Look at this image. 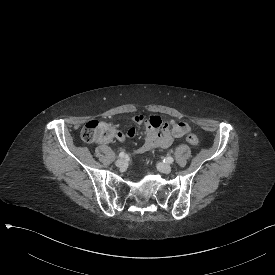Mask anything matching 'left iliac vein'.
I'll return each instance as SVG.
<instances>
[{"label": "left iliac vein", "mask_w": 275, "mask_h": 275, "mask_svg": "<svg viewBox=\"0 0 275 275\" xmlns=\"http://www.w3.org/2000/svg\"><path fill=\"white\" fill-rule=\"evenodd\" d=\"M157 168L160 172L165 173V174H168L171 172V166L166 163H159Z\"/></svg>", "instance_id": "1"}]
</instances>
